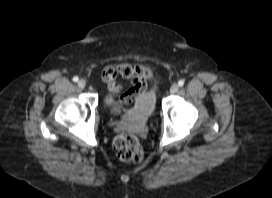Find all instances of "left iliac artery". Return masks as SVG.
<instances>
[{"label": "left iliac artery", "mask_w": 272, "mask_h": 198, "mask_svg": "<svg viewBox=\"0 0 272 198\" xmlns=\"http://www.w3.org/2000/svg\"><path fill=\"white\" fill-rule=\"evenodd\" d=\"M178 85L182 87L184 85V80H179Z\"/></svg>", "instance_id": "1"}]
</instances>
